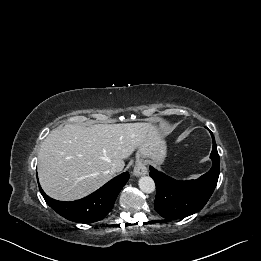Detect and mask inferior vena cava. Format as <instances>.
<instances>
[{
	"label": "inferior vena cava",
	"instance_id": "inferior-vena-cava-1",
	"mask_svg": "<svg viewBox=\"0 0 261 261\" xmlns=\"http://www.w3.org/2000/svg\"><path fill=\"white\" fill-rule=\"evenodd\" d=\"M118 172H121V169L119 167H116V166H113L111 169H110V174L114 175Z\"/></svg>",
	"mask_w": 261,
	"mask_h": 261
}]
</instances>
